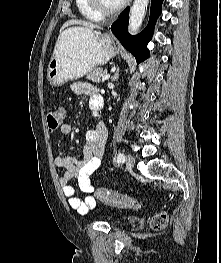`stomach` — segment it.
<instances>
[{
  "label": "stomach",
  "mask_w": 221,
  "mask_h": 263,
  "mask_svg": "<svg viewBox=\"0 0 221 263\" xmlns=\"http://www.w3.org/2000/svg\"><path fill=\"white\" fill-rule=\"evenodd\" d=\"M117 53L113 38L93 30L69 28L59 36L47 68L51 85L77 80Z\"/></svg>",
  "instance_id": "0dacf381"
}]
</instances>
